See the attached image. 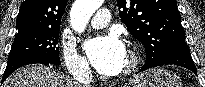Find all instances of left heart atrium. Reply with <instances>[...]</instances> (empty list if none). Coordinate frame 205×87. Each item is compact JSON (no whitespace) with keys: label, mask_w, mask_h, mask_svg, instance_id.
Masks as SVG:
<instances>
[{"label":"left heart atrium","mask_w":205,"mask_h":87,"mask_svg":"<svg viewBox=\"0 0 205 87\" xmlns=\"http://www.w3.org/2000/svg\"><path fill=\"white\" fill-rule=\"evenodd\" d=\"M85 50L93 66L106 75L120 71L126 54L124 45L115 35L92 39L86 43Z\"/></svg>","instance_id":"39dd6f15"}]
</instances>
